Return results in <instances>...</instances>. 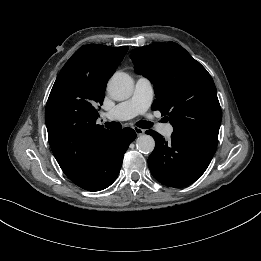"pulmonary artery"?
I'll return each instance as SVG.
<instances>
[{"label":"pulmonary artery","mask_w":261,"mask_h":261,"mask_svg":"<svg viewBox=\"0 0 261 261\" xmlns=\"http://www.w3.org/2000/svg\"><path fill=\"white\" fill-rule=\"evenodd\" d=\"M153 95L154 90L151 81L140 76L135 83L132 96L118 103L113 109L105 113L104 117L109 120L122 121L143 114L150 107ZM158 129L167 137L173 132V127L170 124L160 125Z\"/></svg>","instance_id":"obj_1"}]
</instances>
